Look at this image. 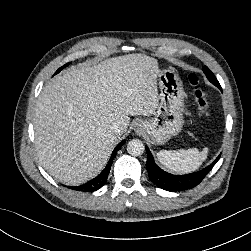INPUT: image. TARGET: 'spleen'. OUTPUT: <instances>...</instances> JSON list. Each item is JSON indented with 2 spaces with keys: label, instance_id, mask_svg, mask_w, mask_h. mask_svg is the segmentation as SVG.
Here are the masks:
<instances>
[{
  "label": "spleen",
  "instance_id": "spleen-1",
  "mask_svg": "<svg viewBox=\"0 0 251 251\" xmlns=\"http://www.w3.org/2000/svg\"><path fill=\"white\" fill-rule=\"evenodd\" d=\"M207 155L208 148L206 147L201 152L197 148L178 151L161 150L156 156L168 170L176 173H190L201 166Z\"/></svg>",
  "mask_w": 251,
  "mask_h": 251
}]
</instances>
